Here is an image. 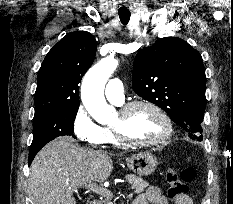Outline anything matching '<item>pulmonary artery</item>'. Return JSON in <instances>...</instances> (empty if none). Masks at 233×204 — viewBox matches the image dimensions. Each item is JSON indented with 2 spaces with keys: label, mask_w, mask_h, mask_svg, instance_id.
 I'll return each instance as SVG.
<instances>
[{
  "label": "pulmonary artery",
  "mask_w": 233,
  "mask_h": 204,
  "mask_svg": "<svg viewBox=\"0 0 233 204\" xmlns=\"http://www.w3.org/2000/svg\"><path fill=\"white\" fill-rule=\"evenodd\" d=\"M105 96L115 104H121L124 100V86L120 79L113 78L105 87Z\"/></svg>",
  "instance_id": "pulmonary-artery-1"
}]
</instances>
